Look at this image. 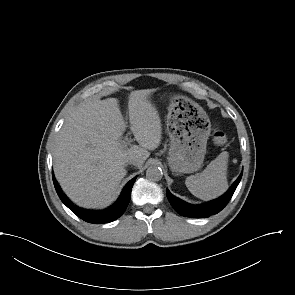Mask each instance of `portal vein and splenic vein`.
Returning a JSON list of instances; mask_svg holds the SVG:
<instances>
[{
    "label": "portal vein and splenic vein",
    "instance_id": "18ae733b",
    "mask_svg": "<svg viewBox=\"0 0 295 295\" xmlns=\"http://www.w3.org/2000/svg\"><path fill=\"white\" fill-rule=\"evenodd\" d=\"M130 142H131V139L126 138L125 141H122V142L120 143V145H121L122 147L126 148V147H127V144H129Z\"/></svg>",
    "mask_w": 295,
    "mask_h": 295
}]
</instances>
